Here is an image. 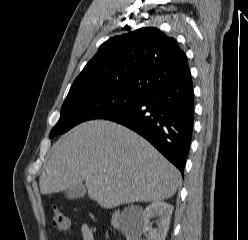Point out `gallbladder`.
<instances>
[{"label":"gallbladder","instance_id":"bac80fb5","mask_svg":"<svg viewBox=\"0 0 248 240\" xmlns=\"http://www.w3.org/2000/svg\"><path fill=\"white\" fill-rule=\"evenodd\" d=\"M85 193H86L85 186L83 184H80L78 186L67 189L65 192V196L68 199H78L83 197Z\"/></svg>","mask_w":248,"mask_h":240}]
</instances>
